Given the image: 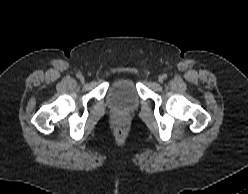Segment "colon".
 Masks as SVG:
<instances>
[{
  "instance_id": "5ec220e1",
  "label": "colon",
  "mask_w": 248,
  "mask_h": 194,
  "mask_svg": "<svg viewBox=\"0 0 248 194\" xmlns=\"http://www.w3.org/2000/svg\"><path fill=\"white\" fill-rule=\"evenodd\" d=\"M118 133L121 134L122 133V128H118Z\"/></svg>"
}]
</instances>
